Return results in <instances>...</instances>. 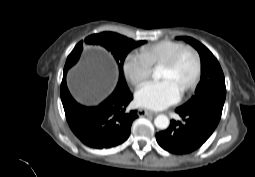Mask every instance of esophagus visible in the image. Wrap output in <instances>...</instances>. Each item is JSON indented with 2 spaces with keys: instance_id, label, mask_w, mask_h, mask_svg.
<instances>
[{
  "instance_id": "1",
  "label": "esophagus",
  "mask_w": 255,
  "mask_h": 177,
  "mask_svg": "<svg viewBox=\"0 0 255 177\" xmlns=\"http://www.w3.org/2000/svg\"><path fill=\"white\" fill-rule=\"evenodd\" d=\"M138 116H149V115H155L156 113L147 109L140 108L137 112Z\"/></svg>"
}]
</instances>
